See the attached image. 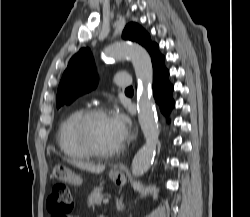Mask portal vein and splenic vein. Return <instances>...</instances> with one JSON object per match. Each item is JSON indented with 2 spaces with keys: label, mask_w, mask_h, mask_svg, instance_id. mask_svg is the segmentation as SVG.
Segmentation results:
<instances>
[{
  "label": "portal vein and splenic vein",
  "mask_w": 250,
  "mask_h": 217,
  "mask_svg": "<svg viewBox=\"0 0 250 217\" xmlns=\"http://www.w3.org/2000/svg\"><path fill=\"white\" fill-rule=\"evenodd\" d=\"M109 203V198H105L104 200H103V204H108Z\"/></svg>",
  "instance_id": "portal-vein-and-splenic-vein-1"
}]
</instances>
